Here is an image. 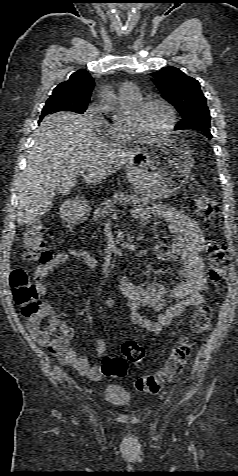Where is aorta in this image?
<instances>
[{
    "label": "aorta",
    "instance_id": "1",
    "mask_svg": "<svg viewBox=\"0 0 238 476\" xmlns=\"http://www.w3.org/2000/svg\"><path fill=\"white\" fill-rule=\"evenodd\" d=\"M106 101H107V104L105 108L107 110H112L115 107V95L112 92L108 93L106 95Z\"/></svg>",
    "mask_w": 238,
    "mask_h": 476
}]
</instances>
